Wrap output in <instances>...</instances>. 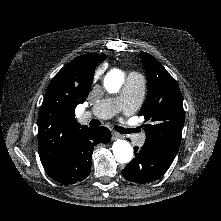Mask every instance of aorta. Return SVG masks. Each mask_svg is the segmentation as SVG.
Masks as SVG:
<instances>
[{
    "instance_id": "762f6f07",
    "label": "aorta",
    "mask_w": 221,
    "mask_h": 221,
    "mask_svg": "<svg viewBox=\"0 0 221 221\" xmlns=\"http://www.w3.org/2000/svg\"><path fill=\"white\" fill-rule=\"evenodd\" d=\"M124 82V75L119 70H112L104 78V86L110 93H117ZM115 159L122 164L129 163L133 158V148L126 140L118 139L112 146Z\"/></svg>"
}]
</instances>
